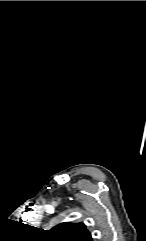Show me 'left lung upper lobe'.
<instances>
[{
    "mask_svg": "<svg viewBox=\"0 0 146 241\" xmlns=\"http://www.w3.org/2000/svg\"><path fill=\"white\" fill-rule=\"evenodd\" d=\"M52 241H93L83 223L64 222L48 231Z\"/></svg>",
    "mask_w": 146,
    "mask_h": 241,
    "instance_id": "obj_1",
    "label": "left lung upper lobe"
}]
</instances>
